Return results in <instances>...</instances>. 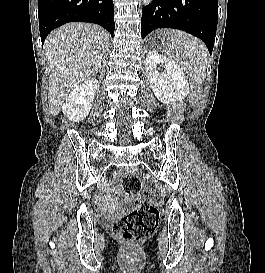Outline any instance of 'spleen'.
Wrapping results in <instances>:
<instances>
[{"mask_svg":"<svg viewBox=\"0 0 265 273\" xmlns=\"http://www.w3.org/2000/svg\"><path fill=\"white\" fill-rule=\"evenodd\" d=\"M167 41L165 52L174 59L183 57V69L192 84H202L206 76L207 52L205 45L196 37L178 30L167 29L161 34V42ZM189 61H186V60Z\"/></svg>","mask_w":265,"mask_h":273,"instance_id":"spleen-1","label":"spleen"}]
</instances>
